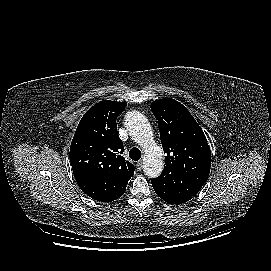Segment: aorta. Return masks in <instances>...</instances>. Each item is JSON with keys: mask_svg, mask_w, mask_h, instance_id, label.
Segmentation results:
<instances>
[{"mask_svg": "<svg viewBox=\"0 0 271 271\" xmlns=\"http://www.w3.org/2000/svg\"><path fill=\"white\" fill-rule=\"evenodd\" d=\"M125 127L131 138L144 150L143 171L145 175L158 177L164 166L162 148L154 142L153 131L148 119L138 111L125 115Z\"/></svg>", "mask_w": 271, "mask_h": 271, "instance_id": "1", "label": "aorta"}]
</instances>
